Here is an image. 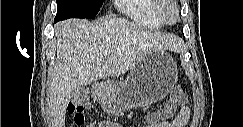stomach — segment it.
I'll return each mask as SVG.
<instances>
[{
  "label": "stomach",
  "instance_id": "1",
  "mask_svg": "<svg viewBox=\"0 0 243 127\" xmlns=\"http://www.w3.org/2000/svg\"><path fill=\"white\" fill-rule=\"evenodd\" d=\"M178 79L176 62L165 50L145 55L122 82L96 84L94 94L109 114L142 107L166 97Z\"/></svg>",
  "mask_w": 243,
  "mask_h": 127
}]
</instances>
